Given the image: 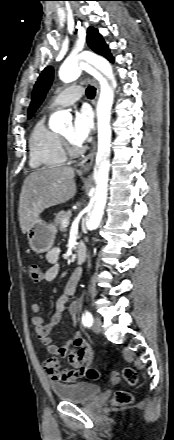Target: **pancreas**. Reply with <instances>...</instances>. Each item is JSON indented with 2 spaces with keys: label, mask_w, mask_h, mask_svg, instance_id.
<instances>
[{
  "label": "pancreas",
  "mask_w": 174,
  "mask_h": 440,
  "mask_svg": "<svg viewBox=\"0 0 174 440\" xmlns=\"http://www.w3.org/2000/svg\"><path fill=\"white\" fill-rule=\"evenodd\" d=\"M70 218V214L66 211H60L59 213H57V215L55 216L54 219V223L55 225L59 228L60 231L65 232L66 228L62 226V221L64 219H69Z\"/></svg>",
  "instance_id": "pancreas-1"
}]
</instances>
